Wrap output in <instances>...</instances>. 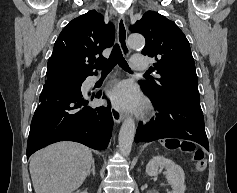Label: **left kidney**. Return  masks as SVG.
<instances>
[{
  "instance_id": "1",
  "label": "left kidney",
  "mask_w": 237,
  "mask_h": 193,
  "mask_svg": "<svg viewBox=\"0 0 237 193\" xmlns=\"http://www.w3.org/2000/svg\"><path fill=\"white\" fill-rule=\"evenodd\" d=\"M165 168L167 181L170 183L172 193H184L185 174L183 169L170 159L163 156L153 157L146 166V173L149 176H156L161 169Z\"/></svg>"
}]
</instances>
